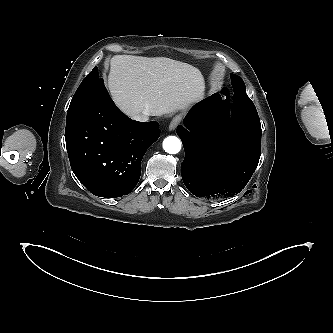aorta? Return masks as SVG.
Listing matches in <instances>:
<instances>
[{"label":"aorta","mask_w":333,"mask_h":333,"mask_svg":"<svg viewBox=\"0 0 333 333\" xmlns=\"http://www.w3.org/2000/svg\"><path fill=\"white\" fill-rule=\"evenodd\" d=\"M163 149L169 154H177L181 150V141L176 136H168L163 141Z\"/></svg>","instance_id":"obj_1"}]
</instances>
